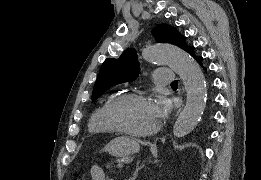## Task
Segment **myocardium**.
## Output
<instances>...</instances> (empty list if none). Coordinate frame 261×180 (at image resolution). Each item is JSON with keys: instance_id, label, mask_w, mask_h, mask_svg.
I'll return each instance as SVG.
<instances>
[{"instance_id": "f54148a6", "label": "myocardium", "mask_w": 261, "mask_h": 180, "mask_svg": "<svg viewBox=\"0 0 261 180\" xmlns=\"http://www.w3.org/2000/svg\"><path fill=\"white\" fill-rule=\"evenodd\" d=\"M142 98H148L146 93H144L142 91H133V92L122 93V94L117 95L112 100V102L109 104V106L106 108L105 113H104L105 121H106L107 126L109 127V129L111 130L112 134L115 137L149 140V139H152L153 137H155L157 135V133L160 131L162 124H163V119H164V115H163L162 111H160V110H159L158 121H157L156 125L154 126V128L149 133L142 135V136H130V135L123 134L120 131V129L118 128V126L116 125V123L112 120L111 110L114 107L120 106L123 103H125L129 100H132V99H142Z\"/></svg>"}]
</instances>
